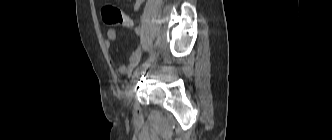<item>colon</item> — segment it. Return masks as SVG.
<instances>
[{
  "instance_id": "colon-1",
  "label": "colon",
  "mask_w": 332,
  "mask_h": 140,
  "mask_svg": "<svg viewBox=\"0 0 332 140\" xmlns=\"http://www.w3.org/2000/svg\"><path fill=\"white\" fill-rule=\"evenodd\" d=\"M103 21L108 25L122 26L124 28H131L133 26L132 20L118 7L107 4L101 10Z\"/></svg>"
}]
</instances>
